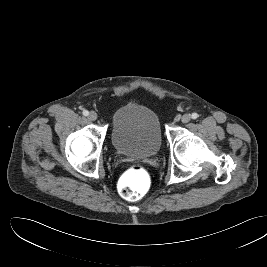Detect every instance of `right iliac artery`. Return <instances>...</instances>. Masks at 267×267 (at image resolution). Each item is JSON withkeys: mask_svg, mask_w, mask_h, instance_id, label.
I'll return each instance as SVG.
<instances>
[{"mask_svg": "<svg viewBox=\"0 0 267 267\" xmlns=\"http://www.w3.org/2000/svg\"><path fill=\"white\" fill-rule=\"evenodd\" d=\"M82 113H83V115H84V116H88V115H89V112H88V110H83V112H82Z\"/></svg>", "mask_w": 267, "mask_h": 267, "instance_id": "obj_1", "label": "right iliac artery"}]
</instances>
